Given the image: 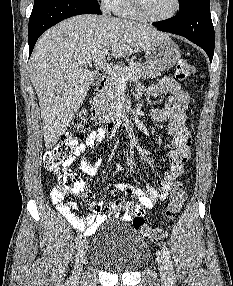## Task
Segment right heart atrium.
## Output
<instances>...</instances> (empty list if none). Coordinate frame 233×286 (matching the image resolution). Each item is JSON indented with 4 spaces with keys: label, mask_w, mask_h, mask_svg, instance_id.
Returning <instances> with one entry per match:
<instances>
[{
    "label": "right heart atrium",
    "mask_w": 233,
    "mask_h": 286,
    "mask_svg": "<svg viewBox=\"0 0 233 286\" xmlns=\"http://www.w3.org/2000/svg\"><path fill=\"white\" fill-rule=\"evenodd\" d=\"M114 0H101V6L104 10H110Z\"/></svg>",
    "instance_id": "1"
}]
</instances>
